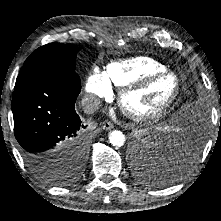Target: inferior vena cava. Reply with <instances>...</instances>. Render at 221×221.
<instances>
[{"label": "inferior vena cava", "instance_id": "inferior-vena-cava-1", "mask_svg": "<svg viewBox=\"0 0 221 221\" xmlns=\"http://www.w3.org/2000/svg\"><path fill=\"white\" fill-rule=\"evenodd\" d=\"M82 108L86 114H93L99 108L100 99L95 96H86L82 99Z\"/></svg>", "mask_w": 221, "mask_h": 221}]
</instances>
